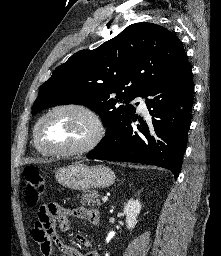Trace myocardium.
<instances>
[{
  "label": "myocardium",
  "mask_w": 221,
  "mask_h": 256,
  "mask_svg": "<svg viewBox=\"0 0 221 256\" xmlns=\"http://www.w3.org/2000/svg\"><path fill=\"white\" fill-rule=\"evenodd\" d=\"M61 110H76L84 115H86L92 125H93V132L89 139L82 143L79 146L72 147V148H50L45 146L41 139H40V128L43 122L53 113ZM106 134V125L100 116V114L93 108L88 105L82 103H63L58 104L51 109H49L46 113H44L39 120L37 121L34 130H33V139L36 147L45 154L50 155H60V156H71V155H79L87 153L94 148H96L100 142L103 140Z\"/></svg>",
  "instance_id": "f54148a6"
}]
</instances>
